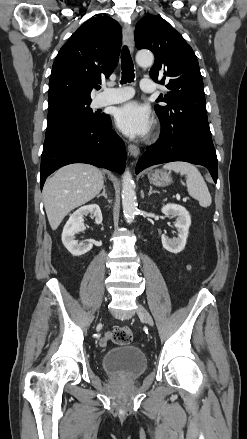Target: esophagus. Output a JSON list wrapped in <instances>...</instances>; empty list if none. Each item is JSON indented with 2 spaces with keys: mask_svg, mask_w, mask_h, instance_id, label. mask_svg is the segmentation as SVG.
<instances>
[{
  "mask_svg": "<svg viewBox=\"0 0 247 439\" xmlns=\"http://www.w3.org/2000/svg\"><path fill=\"white\" fill-rule=\"evenodd\" d=\"M123 40L128 46L129 50L132 52L134 49V33L132 26L129 24H125L123 26ZM128 150L130 155L134 158H136L140 153L139 147L134 144H129Z\"/></svg>",
  "mask_w": 247,
  "mask_h": 439,
  "instance_id": "obj_1",
  "label": "esophagus"
}]
</instances>
